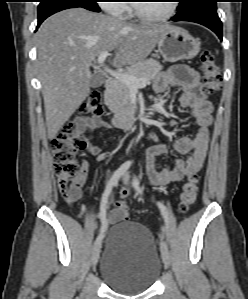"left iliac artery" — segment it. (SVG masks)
<instances>
[{
	"mask_svg": "<svg viewBox=\"0 0 248 299\" xmlns=\"http://www.w3.org/2000/svg\"><path fill=\"white\" fill-rule=\"evenodd\" d=\"M133 187L139 192L142 193L140 187H139V182L136 176H134L133 178ZM157 205L161 211V214L163 215L165 222H166V230L168 231V213H167V209L166 207L161 203V202H157ZM167 237H168V233H167Z\"/></svg>",
	"mask_w": 248,
	"mask_h": 299,
	"instance_id": "obj_1",
	"label": "left iliac artery"
}]
</instances>
